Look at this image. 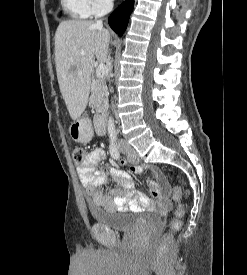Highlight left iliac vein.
<instances>
[{"instance_id":"obj_1","label":"left iliac vein","mask_w":247,"mask_h":275,"mask_svg":"<svg viewBox=\"0 0 247 275\" xmlns=\"http://www.w3.org/2000/svg\"><path fill=\"white\" fill-rule=\"evenodd\" d=\"M121 148L126 151L128 161L131 163H138L139 162V156L137 152L131 148L128 144L123 143Z\"/></svg>"}]
</instances>
